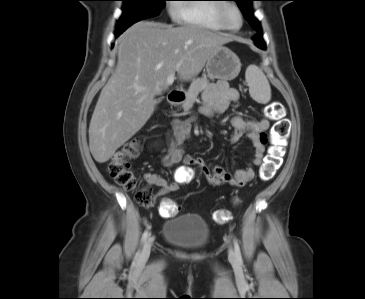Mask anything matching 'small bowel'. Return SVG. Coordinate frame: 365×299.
<instances>
[{"mask_svg": "<svg viewBox=\"0 0 365 299\" xmlns=\"http://www.w3.org/2000/svg\"><path fill=\"white\" fill-rule=\"evenodd\" d=\"M238 98V91L229 87L226 83L212 84L203 94V105L200 108V114L210 117L222 113ZM231 124L234 128L231 141L236 143L243 136H247L255 148L251 166L230 173L221 166H209L201 158L184 155L183 147L190 137L191 123L190 120H175L173 123L174 142L170 146L169 155L164 159V165L169 167L180 163L183 164L173 180L157 173L145 174V180L148 184L159 187L156 196L163 197L168 193L177 191L184 180L191 175L193 167H198L212 185L227 184L232 187H243L251 181L255 176L254 166H259L265 156L266 131L269 128V121L266 118L245 119L236 115L231 119Z\"/></svg>", "mask_w": 365, "mask_h": 299, "instance_id": "c3829d8e", "label": "small bowel"}]
</instances>
